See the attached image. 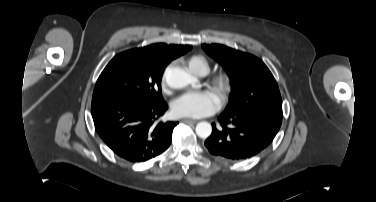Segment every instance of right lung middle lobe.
<instances>
[{
  "label": "right lung middle lobe",
  "mask_w": 376,
  "mask_h": 202,
  "mask_svg": "<svg viewBox=\"0 0 376 202\" xmlns=\"http://www.w3.org/2000/svg\"><path fill=\"white\" fill-rule=\"evenodd\" d=\"M163 70L153 71L133 49L116 55L97 80L92 104L110 99L159 101Z\"/></svg>",
  "instance_id": "1"
}]
</instances>
